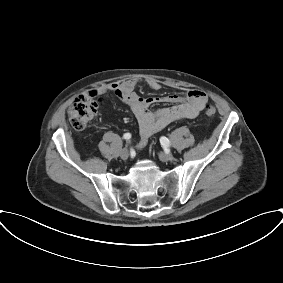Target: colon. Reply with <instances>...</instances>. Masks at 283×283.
<instances>
[{
	"mask_svg": "<svg viewBox=\"0 0 283 283\" xmlns=\"http://www.w3.org/2000/svg\"><path fill=\"white\" fill-rule=\"evenodd\" d=\"M100 102L101 100L95 94H85L76 98L68 112L71 125L77 130L84 129L97 115ZM204 112L206 116L213 117L216 114V108L209 103L205 106Z\"/></svg>",
	"mask_w": 283,
	"mask_h": 283,
	"instance_id": "5ec220e1",
	"label": "colon"
}]
</instances>
